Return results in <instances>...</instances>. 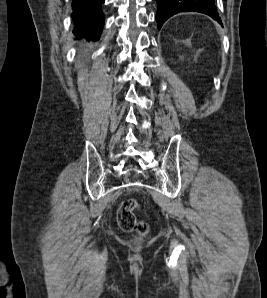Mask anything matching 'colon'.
I'll return each instance as SVG.
<instances>
[{
	"label": "colon",
	"mask_w": 267,
	"mask_h": 298,
	"mask_svg": "<svg viewBox=\"0 0 267 298\" xmlns=\"http://www.w3.org/2000/svg\"><path fill=\"white\" fill-rule=\"evenodd\" d=\"M138 209L139 202L136 199L131 198L124 201L117 213V223L122 231L143 236L147 233L148 226L136 217Z\"/></svg>",
	"instance_id": "1"
}]
</instances>
